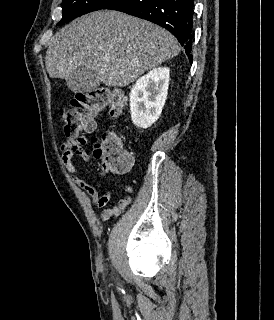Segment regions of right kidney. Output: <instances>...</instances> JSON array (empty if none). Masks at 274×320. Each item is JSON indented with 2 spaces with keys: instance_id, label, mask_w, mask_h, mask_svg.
<instances>
[{
  "instance_id": "ca27d5eb",
  "label": "right kidney",
  "mask_w": 274,
  "mask_h": 320,
  "mask_svg": "<svg viewBox=\"0 0 274 320\" xmlns=\"http://www.w3.org/2000/svg\"><path fill=\"white\" fill-rule=\"evenodd\" d=\"M169 68H154L135 82L130 94L131 120L137 128H150L167 100Z\"/></svg>"
}]
</instances>
